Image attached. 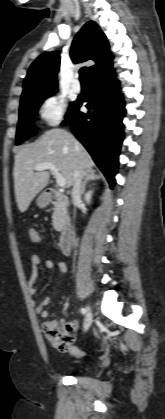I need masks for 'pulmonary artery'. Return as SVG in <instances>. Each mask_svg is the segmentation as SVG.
<instances>
[{
    "label": "pulmonary artery",
    "instance_id": "e3ab8cb5",
    "mask_svg": "<svg viewBox=\"0 0 165 419\" xmlns=\"http://www.w3.org/2000/svg\"><path fill=\"white\" fill-rule=\"evenodd\" d=\"M72 89L75 92H79L81 90V84L78 80V75H76V80L72 84Z\"/></svg>",
    "mask_w": 165,
    "mask_h": 419
}]
</instances>
